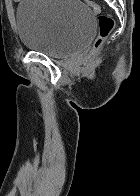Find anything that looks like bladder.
Wrapping results in <instances>:
<instances>
[{
  "label": "bladder",
  "instance_id": "31cf9c89",
  "mask_svg": "<svg viewBox=\"0 0 140 196\" xmlns=\"http://www.w3.org/2000/svg\"><path fill=\"white\" fill-rule=\"evenodd\" d=\"M15 18L21 43L51 58L82 51L96 33L95 12L80 0H21Z\"/></svg>",
  "mask_w": 140,
  "mask_h": 196
}]
</instances>
